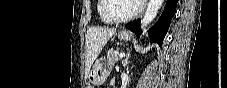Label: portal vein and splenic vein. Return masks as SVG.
Returning <instances> with one entry per match:
<instances>
[{"mask_svg": "<svg viewBox=\"0 0 227 88\" xmlns=\"http://www.w3.org/2000/svg\"><path fill=\"white\" fill-rule=\"evenodd\" d=\"M119 57H120V58L125 57V53H120V54H119Z\"/></svg>", "mask_w": 227, "mask_h": 88, "instance_id": "18ae733b", "label": "portal vein and splenic vein"}]
</instances>
